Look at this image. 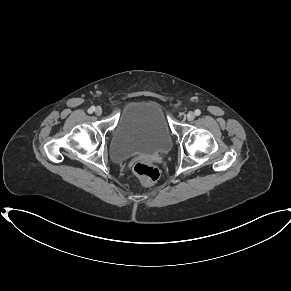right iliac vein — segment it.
Here are the masks:
<instances>
[{
    "label": "right iliac vein",
    "mask_w": 291,
    "mask_h": 291,
    "mask_svg": "<svg viewBox=\"0 0 291 291\" xmlns=\"http://www.w3.org/2000/svg\"><path fill=\"white\" fill-rule=\"evenodd\" d=\"M102 112H103V110H102L101 107H97V108L95 109V114H96L97 116H100V115L102 114Z\"/></svg>",
    "instance_id": "right-iliac-vein-1"
}]
</instances>
